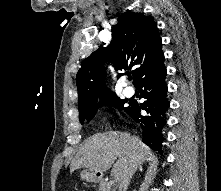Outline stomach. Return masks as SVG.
Segmentation results:
<instances>
[{
	"mask_svg": "<svg viewBox=\"0 0 221 191\" xmlns=\"http://www.w3.org/2000/svg\"><path fill=\"white\" fill-rule=\"evenodd\" d=\"M80 177L86 182L97 183L101 181L102 173L91 169H84L81 171Z\"/></svg>",
	"mask_w": 221,
	"mask_h": 191,
	"instance_id": "1",
	"label": "stomach"
}]
</instances>
